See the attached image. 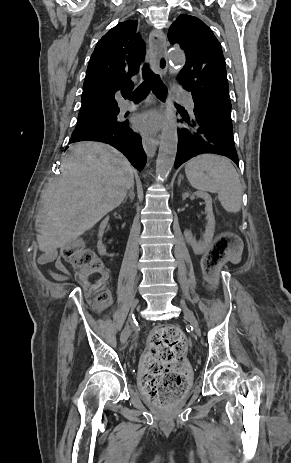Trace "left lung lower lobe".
I'll use <instances>...</instances> for the list:
<instances>
[{"label":"left lung lower lobe","mask_w":291,"mask_h":463,"mask_svg":"<svg viewBox=\"0 0 291 463\" xmlns=\"http://www.w3.org/2000/svg\"><path fill=\"white\" fill-rule=\"evenodd\" d=\"M178 129V148L175 168L201 154H217L230 158L238 165L232 124L221 122L194 108V117L183 114Z\"/></svg>","instance_id":"0a47b994"}]
</instances>
